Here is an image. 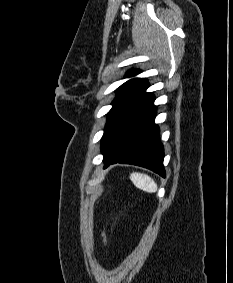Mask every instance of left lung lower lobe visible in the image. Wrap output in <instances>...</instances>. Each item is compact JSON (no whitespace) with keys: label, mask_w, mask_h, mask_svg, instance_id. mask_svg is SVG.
Returning <instances> with one entry per match:
<instances>
[{"label":"left lung lower lobe","mask_w":233,"mask_h":283,"mask_svg":"<svg viewBox=\"0 0 233 283\" xmlns=\"http://www.w3.org/2000/svg\"><path fill=\"white\" fill-rule=\"evenodd\" d=\"M145 90L101 146L104 168L114 163H128L165 177L164 149L159 139V128L154 123L155 98L153 93Z\"/></svg>","instance_id":"0a47b994"}]
</instances>
